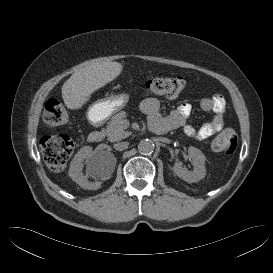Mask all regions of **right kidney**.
<instances>
[{
  "label": "right kidney",
  "instance_id": "obj_1",
  "mask_svg": "<svg viewBox=\"0 0 273 273\" xmlns=\"http://www.w3.org/2000/svg\"><path fill=\"white\" fill-rule=\"evenodd\" d=\"M92 155V148L89 146H86L78 151V153L74 156L70 168H69V176L70 178L79 184L82 188L85 189H97L99 186L95 185L93 183H89L87 180V177L83 175L82 168H83V162L86 158L91 159ZM99 170V175H104L105 174V165L100 160L97 159H91L89 161V167L88 171L90 173Z\"/></svg>",
  "mask_w": 273,
  "mask_h": 273
}]
</instances>
